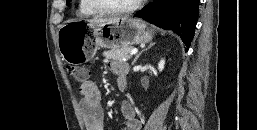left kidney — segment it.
I'll use <instances>...</instances> for the list:
<instances>
[{
  "mask_svg": "<svg viewBox=\"0 0 257 130\" xmlns=\"http://www.w3.org/2000/svg\"><path fill=\"white\" fill-rule=\"evenodd\" d=\"M164 65H165V60L162 59L159 64H158V70L162 71L164 69Z\"/></svg>",
  "mask_w": 257,
  "mask_h": 130,
  "instance_id": "5707ae66",
  "label": "left kidney"
}]
</instances>
